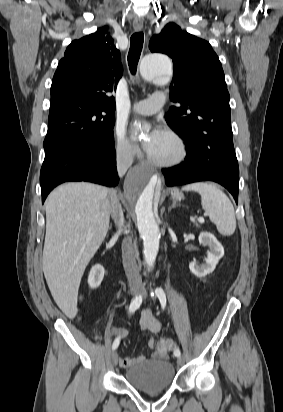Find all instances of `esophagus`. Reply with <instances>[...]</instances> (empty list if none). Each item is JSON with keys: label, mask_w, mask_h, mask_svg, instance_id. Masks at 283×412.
Masks as SVG:
<instances>
[{"label": "esophagus", "mask_w": 283, "mask_h": 412, "mask_svg": "<svg viewBox=\"0 0 283 412\" xmlns=\"http://www.w3.org/2000/svg\"><path fill=\"white\" fill-rule=\"evenodd\" d=\"M133 28L136 32H139L142 30L143 28V21L138 19V20H134L133 22Z\"/></svg>", "instance_id": "esophagus-1"}]
</instances>
